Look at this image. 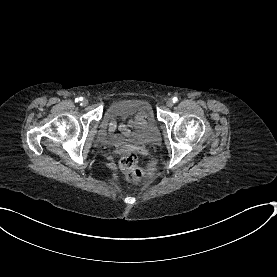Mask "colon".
Segmentation results:
<instances>
[{
    "instance_id": "1",
    "label": "colon",
    "mask_w": 277,
    "mask_h": 277,
    "mask_svg": "<svg viewBox=\"0 0 277 277\" xmlns=\"http://www.w3.org/2000/svg\"><path fill=\"white\" fill-rule=\"evenodd\" d=\"M116 160L120 164V168L126 179L131 182H136L141 179L145 171V166L141 162V155L135 149H122L118 151Z\"/></svg>"
}]
</instances>
